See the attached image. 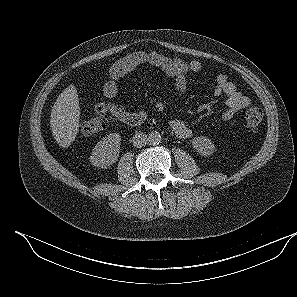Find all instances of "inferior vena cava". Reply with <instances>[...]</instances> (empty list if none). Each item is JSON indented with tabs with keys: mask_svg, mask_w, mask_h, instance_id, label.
<instances>
[{
	"mask_svg": "<svg viewBox=\"0 0 297 297\" xmlns=\"http://www.w3.org/2000/svg\"><path fill=\"white\" fill-rule=\"evenodd\" d=\"M133 146L141 148L148 143L147 135L142 132H137L132 138Z\"/></svg>",
	"mask_w": 297,
	"mask_h": 297,
	"instance_id": "602c4592",
	"label": "inferior vena cava"
}]
</instances>
